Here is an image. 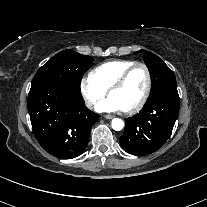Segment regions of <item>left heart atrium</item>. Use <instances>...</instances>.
<instances>
[{"mask_svg":"<svg viewBox=\"0 0 207 207\" xmlns=\"http://www.w3.org/2000/svg\"><path fill=\"white\" fill-rule=\"evenodd\" d=\"M97 110L100 112H116L121 111L122 109L119 104L111 96H109L99 103Z\"/></svg>","mask_w":207,"mask_h":207,"instance_id":"1","label":"left heart atrium"}]
</instances>
